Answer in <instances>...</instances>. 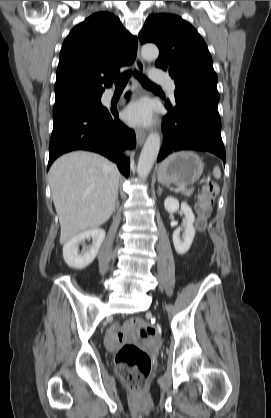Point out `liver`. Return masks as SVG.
I'll list each match as a JSON object with an SVG mask.
<instances>
[{"instance_id": "1", "label": "liver", "mask_w": 271, "mask_h": 418, "mask_svg": "<svg viewBox=\"0 0 271 418\" xmlns=\"http://www.w3.org/2000/svg\"><path fill=\"white\" fill-rule=\"evenodd\" d=\"M119 178L115 164L92 152H72L53 163L49 182L61 244L109 220L115 210Z\"/></svg>"}]
</instances>
